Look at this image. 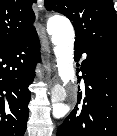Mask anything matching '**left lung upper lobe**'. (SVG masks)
I'll return each mask as SVG.
<instances>
[{"label":"left lung upper lobe","instance_id":"left-lung-upper-lobe-1","mask_svg":"<svg viewBox=\"0 0 117 136\" xmlns=\"http://www.w3.org/2000/svg\"><path fill=\"white\" fill-rule=\"evenodd\" d=\"M45 6L72 21L75 43L117 55V16L112 0H45Z\"/></svg>","mask_w":117,"mask_h":136}]
</instances>
